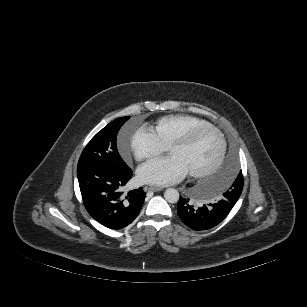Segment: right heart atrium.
Masks as SVG:
<instances>
[{
  "label": "right heart atrium",
  "mask_w": 307,
  "mask_h": 307,
  "mask_svg": "<svg viewBox=\"0 0 307 307\" xmlns=\"http://www.w3.org/2000/svg\"><path fill=\"white\" fill-rule=\"evenodd\" d=\"M128 147L136 160H145L156 157L166 151L164 145L154 131L147 127L135 129L128 137ZM121 149H125L122 143Z\"/></svg>",
  "instance_id": "obj_1"
}]
</instances>
